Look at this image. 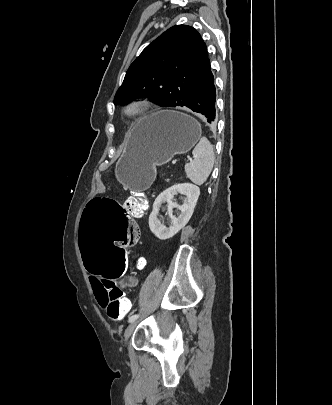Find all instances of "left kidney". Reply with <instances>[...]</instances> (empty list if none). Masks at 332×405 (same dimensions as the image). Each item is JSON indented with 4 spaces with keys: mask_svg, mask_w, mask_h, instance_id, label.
<instances>
[{
    "mask_svg": "<svg viewBox=\"0 0 332 405\" xmlns=\"http://www.w3.org/2000/svg\"><path fill=\"white\" fill-rule=\"evenodd\" d=\"M177 193L186 196L182 205H178L173 201L174 195ZM199 194V187L189 183L176 184L163 191L156 198L153 204V211L149 216V227L151 232L160 240L169 239L177 234L189 222ZM165 202L168 203L167 213L170 218L169 227H166V225L158 218L159 209ZM174 208H178L181 212L178 217L172 214Z\"/></svg>",
    "mask_w": 332,
    "mask_h": 405,
    "instance_id": "obj_1",
    "label": "left kidney"
}]
</instances>
